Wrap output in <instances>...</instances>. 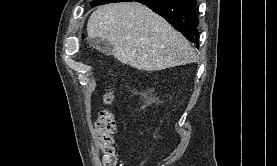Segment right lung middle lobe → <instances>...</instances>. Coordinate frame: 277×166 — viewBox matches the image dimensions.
Segmentation results:
<instances>
[{
    "mask_svg": "<svg viewBox=\"0 0 277 166\" xmlns=\"http://www.w3.org/2000/svg\"><path fill=\"white\" fill-rule=\"evenodd\" d=\"M112 0H94L92 3H90L91 7L111 3Z\"/></svg>",
    "mask_w": 277,
    "mask_h": 166,
    "instance_id": "1",
    "label": "right lung middle lobe"
}]
</instances>
